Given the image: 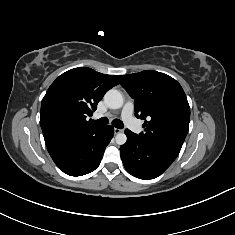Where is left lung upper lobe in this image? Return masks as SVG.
<instances>
[{"label":"left lung upper lobe","instance_id":"1","mask_svg":"<svg viewBox=\"0 0 235 235\" xmlns=\"http://www.w3.org/2000/svg\"><path fill=\"white\" fill-rule=\"evenodd\" d=\"M135 100V115L146 120L143 139L180 152L189 128L190 107L181 85L172 77L143 71L118 76Z\"/></svg>","mask_w":235,"mask_h":235}]
</instances>
